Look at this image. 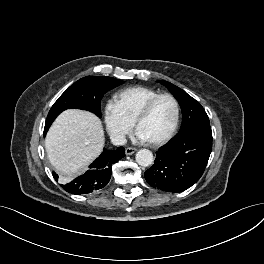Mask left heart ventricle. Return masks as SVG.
<instances>
[{
    "instance_id": "obj_1",
    "label": "left heart ventricle",
    "mask_w": 264,
    "mask_h": 264,
    "mask_svg": "<svg viewBox=\"0 0 264 264\" xmlns=\"http://www.w3.org/2000/svg\"><path fill=\"white\" fill-rule=\"evenodd\" d=\"M175 118V106L168 97H163L156 102L152 111L139 125L148 140H157L171 129Z\"/></svg>"
}]
</instances>
